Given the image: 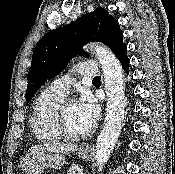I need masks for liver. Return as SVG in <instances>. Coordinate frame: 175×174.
<instances>
[{"label":"liver","instance_id":"liver-1","mask_svg":"<svg viewBox=\"0 0 175 174\" xmlns=\"http://www.w3.org/2000/svg\"><path fill=\"white\" fill-rule=\"evenodd\" d=\"M78 150V145L72 143H44L35 145L29 149L30 153L39 151L69 154Z\"/></svg>","mask_w":175,"mask_h":174}]
</instances>
